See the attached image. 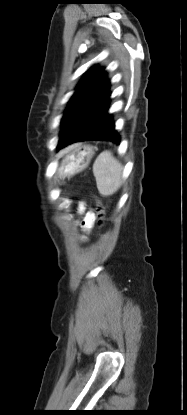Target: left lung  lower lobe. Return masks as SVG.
Segmentation results:
<instances>
[{"mask_svg":"<svg viewBox=\"0 0 187 415\" xmlns=\"http://www.w3.org/2000/svg\"><path fill=\"white\" fill-rule=\"evenodd\" d=\"M109 88L107 73L103 71L91 87L72 124L64 133L58 149L86 140H106L119 144L120 136L114 130L112 115L108 114L111 95Z\"/></svg>","mask_w":187,"mask_h":415,"instance_id":"left-lung-lower-lobe-1","label":"left lung lower lobe"}]
</instances>
